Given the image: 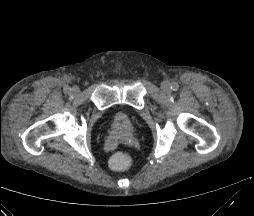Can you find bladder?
<instances>
[{"mask_svg":"<svg viewBox=\"0 0 254 216\" xmlns=\"http://www.w3.org/2000/svg\"><path fill=\"white\" fill-rule=\"evenodd\" d=\"M121 122L124 120L122 117L120 118Z\"/></svg>","mask_w":254,"mask_h":216,"instance_id":"bladder-1","label":"bladder"}]
</instances>
